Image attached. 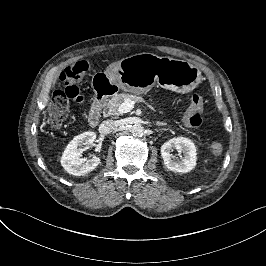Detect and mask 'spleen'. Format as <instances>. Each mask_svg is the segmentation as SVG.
<instances>
[{
  "mask_svg": "<svg viewBox=\"0 0 266 266\" xmlns=\"http://www.w3.org/2000/svg\"><path fill=\"white\" fill-rule=\"evenodd\" d=\"M212 174H215V171L212 172ZM211 175L210 169H207L206 173L204 174V179L209 180Z\"/></svg>",
  "mask_w": 266,
  "mask_h": 266,
  "instance_id": "1",
  "label": "spleen"
}]
</instances>
